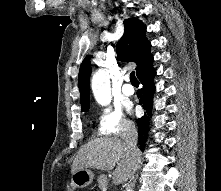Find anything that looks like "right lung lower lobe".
<instances>
[{"instance_id": "1", "label": "right lung lower lobe", "mask_w": 221, "mask_h": 191, "mask_svg": "<svg viewBox=\"0 0 221 191\" xmlns=\"http://www.w3.org/2000/svg\"><path fill=\"white\" fill-rule=\"evenodd\" d=\"M153 63V62H152ZM152 63L144 68L139 74H137L138 79L142 84V88L137 92L139 99V104L143 106L146 112L151 115L152 110V98L155 91V86L153 83L156 71L153 68ZM150 118L148 116H143L136 120L138 126V139L141 146V150L145 148V142L147 140L148 131L150 130Z\"/></svg>"}]
</instances>
